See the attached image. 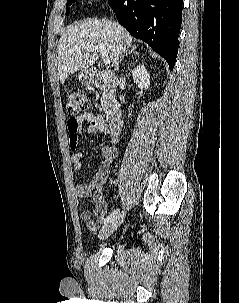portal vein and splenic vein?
<instances>
[{
	"label": "portal vein and splenic vein",
	"instance_id": "portal-vein-and-splenic-vein-1",
	"mask_svg": "<svg viewBox=\"0 0 239 303\" xmlns=\"http://www.w3.org/2000/svg\"><path fill=\"white\" fill-rule=\"evenodd\" d=\"M87 51H97V52H100L101 55H102V60H103V63L105 65H110L111 64V59L107 53V50L105 48V46H91L89 48H87Z\"/></svg>",
	"mask_w": 239,
	"mask_h": 303
}]
</instances>
